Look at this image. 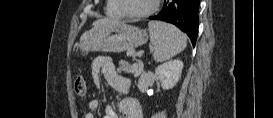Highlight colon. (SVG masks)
<instances>
[{"label":"colon","instance_id":"1","mask_svg":"<svg viewBox=\"0 0 273 118\" xmlns=\"http://www.w3.org/2000/svg\"><path fill=\"white\" fill-rule=\"evenodd\" d=\"M74 90L78 96H84L86 93V81L84 77L78 76L74 82Z\"/></svg>","mask_w":273,"mask_h":118}]
</instances>
